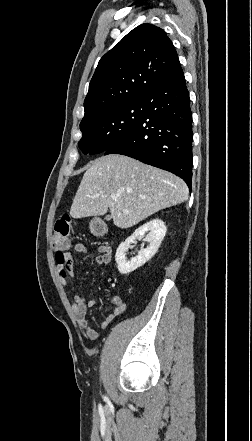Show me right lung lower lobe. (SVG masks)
<instances>
[{
    "instance_id": "1",
    "label": "right lung lower lobe",
    "mask_w": 252,
    "mask_h": 441,
    "mask_svg": "<svg viewBox=\"0 0 252 441\" xmlns=\"http://www.w3.org/2000/svg\"><path fill=\"white\" fill-rule=\"evenodd\" d=\"M139 123L104 154L135 158L192 181V113L185 77L179 65L141 98Z\"/></svg>"
}]
</instances>
